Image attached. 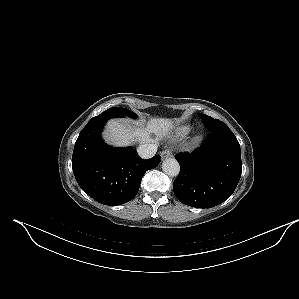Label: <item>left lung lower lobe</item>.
Wrapping results in <instances>:
<instances>
[{
	"label": "left lung lower lobe",
	"instance_id": "0a47b994",
	"mask_svg": "<svg viewBox=\"0 0 299 299\" xmlns=\"http://www.w3.org/2000/svg\"><path fill=\"white\" fill-rule=\"evenodd\" d=\"M180 172L173 183L176 198L192 207L212 208L234 192L242 171L240 145L224 124L210 131L192 153L177 154Z\"/></svg>",
	"mask_w": 299,
	"mask_h": 299
}]
</instances>
